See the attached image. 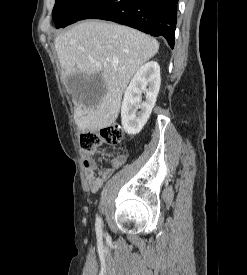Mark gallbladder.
Segmentation results:
<instances>
[{"mask_svg":"<svg viewBox=\"0 0 247 275\" xmlns=\"http://www.w3.org/2000/svg\"><path fill=\"white\" fill-rule=\"evenodd\" d=\"M67 88H69L84 103H87L92 96L99 92L104 94V81L99 74H86L77 72L66 78Z\"/></svg>","mask_w":247,"mask_h":275,"instance_id":"gallbladder-1","label":"gallbladder"}]
</instances>
